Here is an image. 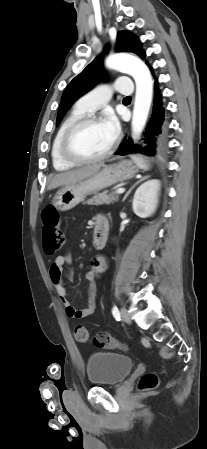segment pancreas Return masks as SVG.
Masks as SVG:
<instances>
[{
    "label": "pancreas",
    "instance_id": "cf45deb5",
    "mask_svg": "<svg viewBox=\"0 0 207 449\" xmlns=\"http://www.w3.org/2000/svg\"><path fill=\"white\" fill-rule=\"evenodd\" d=\"M118 201V196L111 194H107V192L99 193L94 195L91 199H88L85 203L88 205H103L110 204Z\"/></svg>",
    "mask_w": 207,
    "mask_h": 449
}]
</instances>
